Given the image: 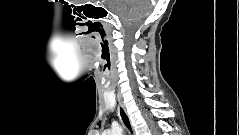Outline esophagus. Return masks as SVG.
<instances>
[{"label": "esophagus", "instance_id": "34e87169", "mask_svg": "<svg viewBox=\"0 0 239 135\" xmlns=\"http://www.w3.org/2000/svg\"><path fill=\"white\" fill-rule=\"evenodd\" d=\"M118 115H119V118H120L123 126L128 131L129 135H135V131H134V128L130 121V118H129L123 104L120 101L118 103Z\"/></svg>", "mask_w": 239, "mask_h": 135}]
</instances>
